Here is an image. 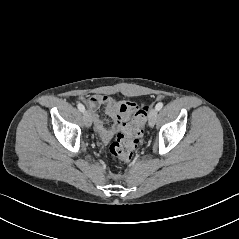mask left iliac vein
Instances as JSON below:
<instances>
[{"label": "left iliac vein", "mask_w": 239, "mask_h": 239, "mask_svg": "<svg viewBox=\"0 0 239 239\" xmlns=\"http://www.w3.org/2000/svg\"><path fill=\"white\" fill-rule=\"evenodd\" d=\"M157 110L156 108L152 109L149 113V117H148V124L150 127H153L156 123L157 120Z\"/></svg>", "instance_id": "left-iliac-vein-1"}]
</instances>
